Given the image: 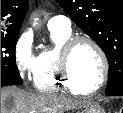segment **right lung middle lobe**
<instances>
[{
  "label": "right lung middle lobe",
  "instance_id": "dd1d6c3e",
  "mask_svg": "<svg viewBox=\"0 0 123 113\" xmlns=\"http://www.w3.org/2000/svg\"><path fill=\"white\" fill-rule=\"evenodd\" d=\"M18 36L19 34L1 35V86L23 83L15 63Z\"/></svg>",
  "mask_w": 123,
  "mask_h": 113
}]
</instances>
